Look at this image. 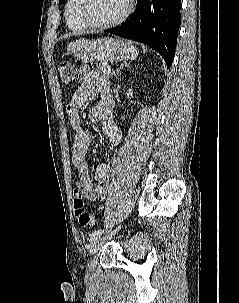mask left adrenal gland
<instances>
[{
  "mask_svg": "<svg viewBox=\"0 0 239 303\" xmlns=\"http://www.w3.org/2000/svg\"><path fill=\"white\" fill-rule=\"evenodd\" d=\"M124 67H129V64H127L126 61H124V62L120 65V67L117 69V71H116V73H114V75H118L119 72H120V70H122Z\"/></svg>",
  "mask_w": 239,
  "mask_h": 303,
  "instance_id": "a2214340",
  "label": "left adrenal gland"
}]
</instances>
